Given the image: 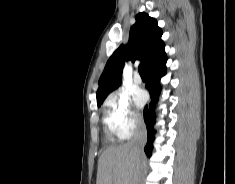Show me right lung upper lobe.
Returning a JSON list of instances; mask_svg holds the SVG:
<instances>
[{
  "mask_svg": "<svg viewBox=\"0 0 235 184\" xmlns=\"http://www.w3.org/2000/svg\"><path fill=\"white\" fill-rule=\"evenodd\" d=\"M162 30L154 18L142 12L130 28L127 45H120L108 59L99 79L97 103L101 105L106 96L121 84L124 63L127 60L145 62L146 70L166 57Z\"/></svg>",
  "mask_w": 235,
  "mask_h": 184,
  "instance_id": "right-lung-upper-lobe-1",
  "label": "right lung upper lobe"
}]
</instances>
